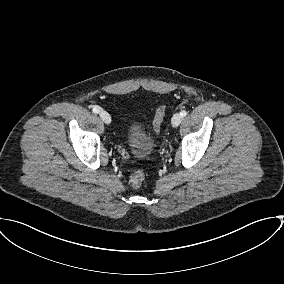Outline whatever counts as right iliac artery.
Here are the masks:
<instances>
[{
    "label": "right iliac artery",
    "mask_w": 284,
    "mask_h": 284,
    "mask_svg": "<svg viewBox=\"0 0 284 284\" xmlns=\"http://www.w3.org/2000/svg\"><path fill=\"white\" fill-rule=\"evenodd\" d=\"M92 111H93L94 113H99V112L101 111V108H100L99 106H93V107H92Z\"/></svg>",
    "instance_id": "right-iliac-artery-1"
}]
</instances>
